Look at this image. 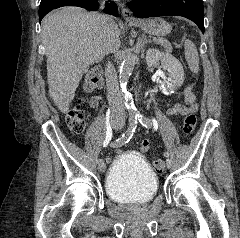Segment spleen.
Masks as SVG:
<instances>
[{
	"instance_id": "obj_1",
	"label": "spleen",
	"mask_w": 240,
	"mask_h": 238,
	"mask_svg": "<svg viewBox=\"0 0 240 238\" xmlns=\"http://www.w3.org/2000/svg\"><path fill=\"white\" fill-rule=\"evenodd\" d=\"M184 49H185V58L190 70L193 73H198L199 72V56H198V51L195 44L191 40L187 39L185 40V43H184Z\"/></svg>"
}]
</instances>
